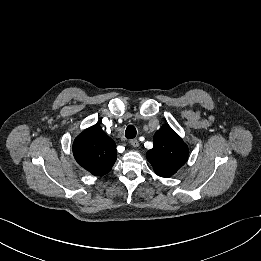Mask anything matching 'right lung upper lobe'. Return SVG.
Instances as JSON below:
<instances>
[{"instance_id": "1", "label": "right lung upper lobe", "mask_w": 261, "mask_h": 261, "mask_svg": "<svg viewBox=\"0 0 261 261\" xmlns=\"http://www.w3.org/2000/svg\"><path fill=\"white\" fill-rule=\"evenodd\" d=\"M73 155L80 166L95 176L110 172L117 154L114 141L99 124L84 130L73 143Z\"/></svg>"}]
</instances>
